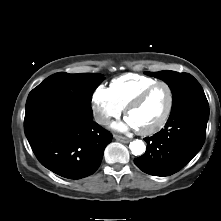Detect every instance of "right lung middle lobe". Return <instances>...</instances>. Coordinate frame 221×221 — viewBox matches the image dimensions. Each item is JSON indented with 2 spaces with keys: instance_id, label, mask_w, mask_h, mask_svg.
Listing matches in <instances>:
<instances>
[{
  "instance_id": "obj_1",
  "label": "right lung middle lobe",
  "mask_w": 221,
  "mask_h": 221,
  "mask_svg": "<svg viewBox=\"0 0 221 221\" xmlns=\"http://www.w3.org/2000/svg\"><path fill=\"white\" fill-rule=\"evenodd\" d=\"M103 80V75L97 73L53 74L30 92L26 110L42 102L54 101L85 117H92V94Z\"/></svg>"
}]
</instances>
